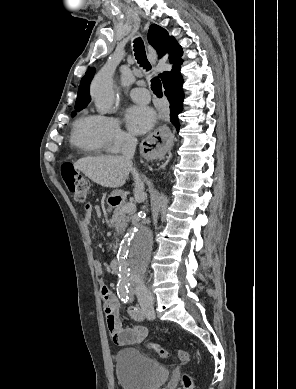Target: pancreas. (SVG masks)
<instances>
[{"label":"pancreas","mask_w":296,"mask_h":389,"mask_svg":"<svg viewBox=\"0 0 296 389\" xmlns=\"http://www.w3.org/2000/svg\"><path fill=\"white\" fill-rule=\"evenodd\" d=\"M121 205L117 207L113 213L112 219L108 221L110 227L115 228L117 234L125 232L128 222L131 220L130 214L123 212V207Z\"/></svg>","instance_id":"pancreas-1"}]
</instances>
